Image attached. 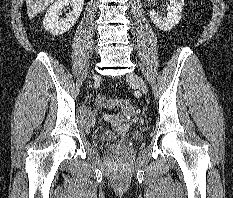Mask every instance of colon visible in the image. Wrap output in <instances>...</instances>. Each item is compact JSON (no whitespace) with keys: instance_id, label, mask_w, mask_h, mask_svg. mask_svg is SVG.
Instances as JSON below:
<instances>
[{"instance_id":"obj_1","label":"colon","mask_w":233,"mask_h":198,"mask_svg":"<svg viewBox=\"0 0 233 198\" xmlns=\"http://www.w3.org/2000/svg\"><path fill=\"white\" fill-rule=\"evenodd\" d=\"M96 101L100 107L108 109H119L127 116H133L137 112L136 107L127 99L110 98L104 95H100L97 97Z\"/></svg>"}]
</instances>
